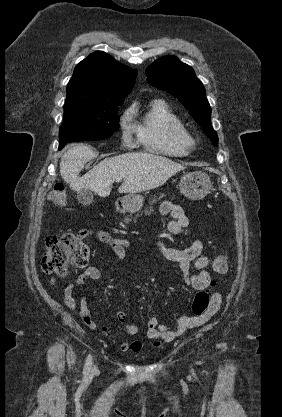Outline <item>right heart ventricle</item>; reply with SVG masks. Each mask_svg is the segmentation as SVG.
<instances>
[{
  "instance_id": "right-heart-ventricle-1",
  "label": "right heart ventricle",
  "mask_w": 282,
  "mask_h": 417,
  "mask_svg": "<svg viewBox=\"0 0 282 417\" xmlns=\"http://www.w3.org/2000/svg\"><path fill=\"white\" fill-rule=\"evenodd\" d=\"M129 116L134 120L139 141L146 148L170 155L182 153L178 143L180 122L164 100H154L141 116L138 107L133 106ZM166 124L171 125L170 131L165 130Z\"/></svg>"
}]
</instances>
